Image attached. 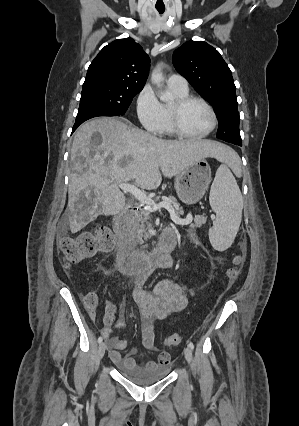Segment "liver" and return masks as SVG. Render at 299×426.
Returning <instances> with one entry per match:
<instances>
[{"label": "liver", "mask_w": 299, "mask_h": 426, "mask_svg": "<svg viewBox=\"0 0 299 426\" xmlns=\"http://www.w3.org/2000/svg\"><path fill=\"white\" fill-rule=\"evenodd\" d=\"M98 132L100 141L92 139ZM232 150L210 140L159 139L114 118H97L76 132L71 148L68 221L76 233L99 215H116L125 207L118 184L133 181L154 190L162 175L171 178L204 157L228 161Z\"/></svg>", "instance_id": "liver-1"}]
</instances>
